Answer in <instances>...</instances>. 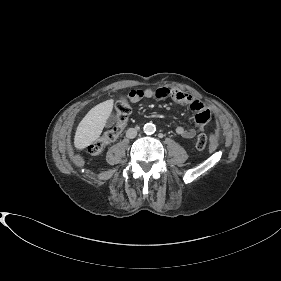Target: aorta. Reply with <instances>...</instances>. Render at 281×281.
Segmentation results:
<instances>
[{"label":"aorta","mask_w":281,"mask_h":281,"mask_svg":"<svg viewBox=\"0 0 281 281\" xmlns=\"http://www.w3.org/2000/svg\"><path fill=\"white\" fill-rule=\"evenodd\" d=\"M143 130L146 134L151 135L156 131V127L153 123H146Z\"/></svg>","instance_id":"aorta-1"}]
</instances>
